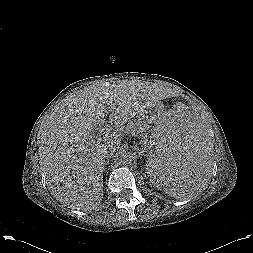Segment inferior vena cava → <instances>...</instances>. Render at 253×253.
Masks as SVG:
<instances>
[{
  "mask_svg": "<svg viewBox=\"0 0 253 253\" xmlns=\"http://www.w3.org/2000/svg\"><path fill=\"white\" fill-rule=\"evenodd\" d=\"M116 146L107 145L104 149V157H111L116 152Z\"/></svg>",
  "mask_w": 253,
  "mask_h": 253,
  "instance_id": "1",
  "label": "inferior vena cava"
}]
</instances>
